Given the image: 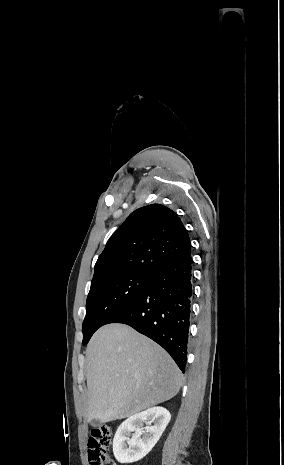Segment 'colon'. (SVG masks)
Instances as JSON below:
<instances>
[{"label": "colon", "mask_w": 284, "mask_h": 465, "mask_svg": "<svg viewBox=\"0 0 284 465\" xmlns=\"http://www.w3.org/2000/svg\"><path fill=\"white\" fill-rule=\"evenodd\" d=\"M112 438L110 428H91L86 445L89 448V465H101L103 463L104 447Z\"/></svg>", "instance_id": "5ec220e1"}]
</instances>
